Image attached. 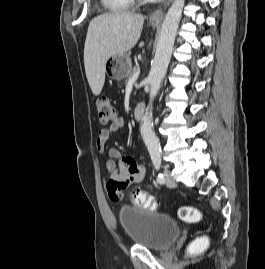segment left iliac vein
Segmentation results:
<instances>
[{"label": "left iliac vein", "instance_id": "obj_1", "mask_svg": "<svg viewBox=\"0 0 265 269\" xmlns=\"http://www.w3.org/2000/svg\"><path fill=\"white\" fill-rule=\"evenodd\" d=\"M164 176H165V184L167 187L169 188H173L176 186V182L174 180V178L171 175V172L169 170H164Z\"/></svg>", "mask_w": 265, "mask_h": 269}]
</instances>
